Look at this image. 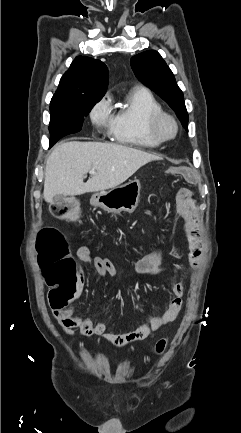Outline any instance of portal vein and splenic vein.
Returning a JSON list of instances; mask_svg holds the SVG:
<instances>
[{
	"instance_id": "portal-vein-and-splenic-vein-1",
	"label": "portal vein and splenic vein",
	"mask_w": 241,
	"mask_h": 433,
	"mask_svg": "<svg viewBox=\"0 0 241 433\" xmlns=\"http://www.w3.org/2000/svg\"><path fill=\"white\" fill-rule=\"evenodd\" d=\"M89 174H91V175H96L97 172H95L94 170H90V171H89Z\"/></svg>"
}]
</instances>
